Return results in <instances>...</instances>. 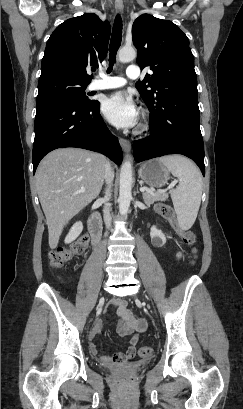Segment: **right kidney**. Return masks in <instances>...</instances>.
<instances>
[{"label":"right kidney","mask_w":243,"mask_h":409,"mask_svg":"<svg viewBox=\"0 0 243 409\" xmlns=\"http://www.w3.org/2000/svg\"><path fill=\"white\" fill-rule=\"evenodd\" d=\"M83 224L81 221L76 222L70 229L68 235L65 238V243L69 244L73 242L82 232Z\"/></svg>","instance_id":"ca27d5eb"}]
</instances>
